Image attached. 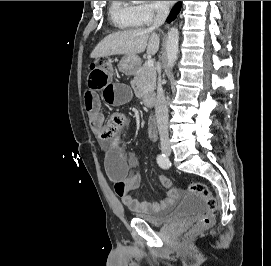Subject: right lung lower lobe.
Returning a JSON list of instances; mask_svg holds the SVG:
<instances>
[{
	"instance_id": "1",
	"label": "right lung lower lobe",
	"mask_w": 271,
	"mask_h": 266,
	"mask_svg": "<svg viewBox=\"0 0 271 266\" xmlns=\"http://www.w3.org/2000/svg\"><path fill=\"white\" fill-rule=\"evenodd\" d=\"M180 9H181V4L180 3L175 4V6L171 10L169 17L167 19L168 23H170L176 18V15L179 13Z\"/></svg>"
}]
</instances>
